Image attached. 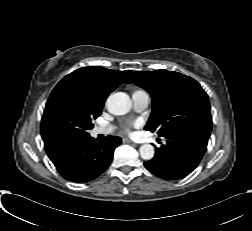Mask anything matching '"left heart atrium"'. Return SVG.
<instances>
[{
  "mask_svg": "<svg viewBox=\"0 0 252 231\" xmlns=\"http://www.w3.org/2000/svg\"><path fill=\"white\" fill-rule=\"evenodd\" d=\"M134 125L137 126L138 123L136 122ZM131 126H132V125H128V126L125 127V129H126V130H129V128H130Z\"/></svg>",
  "mask_w": 252,
  "mask_h": 231,
  "instance_id": "1",
  "label": "left heart atrium"
}]
</instances>
